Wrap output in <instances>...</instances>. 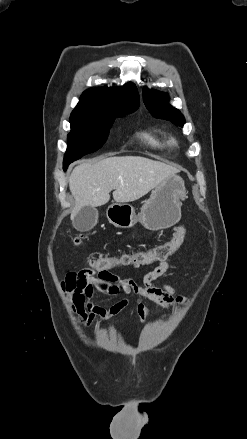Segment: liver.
<instances>
[{
	"label": "liver",
	"mask_w": 247,
	"mask_h": 439,
	"mask_svg": "<svg viewBox=\"0 0 247 439\" xmlns=\"http://www.w3.org/2000/svg\"><path fill=\"white\" fill-rule=\"evenodd\" d=\"M178 172L173 166L141 156L109 157L81 163L69 178V188L75 199L71 219L84 206L95 208L106 204L112 190L117 203L132 202Z\"/></svg>",
	"instance_id": "obj_1"
}]
</instances>
